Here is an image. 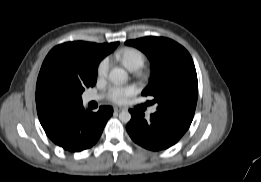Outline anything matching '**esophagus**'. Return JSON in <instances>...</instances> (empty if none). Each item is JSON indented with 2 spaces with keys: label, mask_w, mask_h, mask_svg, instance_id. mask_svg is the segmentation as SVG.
Returning a JSON list of instances; mask_svg holds the SVG:
<instances>
[{
  "label": "esophagus",
  "mask_w": 261,
  "mask_h": 182,
  "mask_svg": "<svg viewBox=\"0 0 261 182\" xmlns=\"http://www.w3.org/2000/svg\"><path fill=\"white\" fill-rule=\"evenodd\" d=\"M122 110H124V108L118 107V106H115V107H114V111H115V112H120V111H122Z\"/></svg>",
  "instance_id": "obj_1"
}]
</instances>
